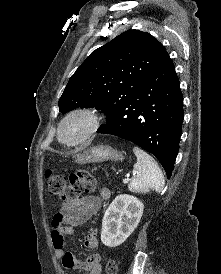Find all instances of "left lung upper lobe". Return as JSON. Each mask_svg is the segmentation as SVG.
<instances>
[{
	"label": "left lung upper lobe",
	"mask_w": 221,
	"mask_h": 274,
	"mask_svg": "<svg viewBox=\"0 0 221 274\" xmlns=\"http://www.w3.org/2000/svg\"><path fill=\"white\" fill-rule=\"evenodd\" d=\"M168 56L152 35L128 30L96 49L71 76L59 111L96 107L108 114L126 104Z\"/></svg>",
	"instance_id": "obj_1"
}]
</instances>
